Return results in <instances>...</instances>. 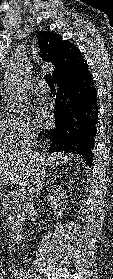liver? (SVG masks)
<instances>
[{"instance_id":"liver-1","label":"liver","mask_w":113,"mask_h":279,"mask_svg":"<svg viewBox=\"0 0 113 279\" xmlns=\"http://www.w3.org/2000/svg\"><path fill=\"white\" fill-rule=\"evenodd\" d=\"M73 160V155L64 153L44 155L35 153L33 155H23L15 148L0 149V186L3 184H16L25 187L29 172H43L45 166H57L60 163L67 164ZM43 168L41 171L40 168ZM37 168V169H36Z\"/></svg>"}]
</instances>
